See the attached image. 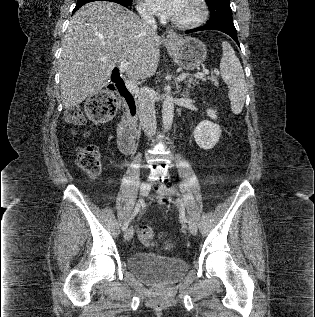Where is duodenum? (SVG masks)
Wrapping results in <instances>:
<instances>
[{"instance_id": "410a0bca", "label": "duodenum", "mask_w": 315, "mask_h": 317, "mask_svg": "<svg viewBox=\"0 0 315 317\" xmlns=\"http://www.w3.org/2000/svg\"><path fill=\"white\" fill-rule=\"evenodd\" d=\"M112 81L124 109V115L117 127L118 145L122 152L130 154L135 151L137 145V128L133 120L136 103L124 80L118 74L113 76Z\"/></svg>"}]
</instances>
